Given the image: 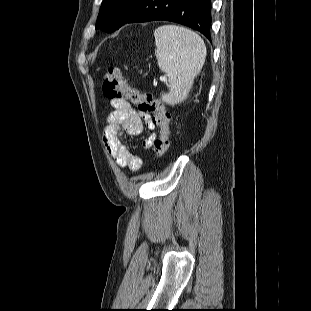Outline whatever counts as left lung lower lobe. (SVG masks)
<instances>
[{
  "instance_id": "1",
  "label": "left lung lower lobe",
  "mask_w": 311,
  "mask_h": 311,
  "mask_svg": "<svg viewBox=\"0 0 311 311\" xmlns=\"http://www.w3.org/2000/svg\"><path fill=\"white\" fill-rule=\"evenodd\" d=\"M157 20L188 26L209 39L212 20L210 0H131L115 30L127 23Z\"/></svg>"
}]
</instances>
